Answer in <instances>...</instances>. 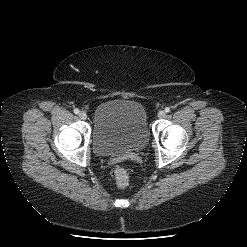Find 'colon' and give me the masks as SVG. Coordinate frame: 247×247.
<instances>
[{"mask_svg":"<svg viewBox=\"0 0 247 247\" xmlns=\"http://www.w3.org/2000/svg\"><path fill=\"white\" fill-rule=\"evenodd\" d=\"M115 184L118 188L124 189L129 184V174L126 169L118 167L115 169Z\"/></svg>","mask_w":247,"mask_h":247,"instance_id":"colon-1","label":"colon"}]
</instances>
